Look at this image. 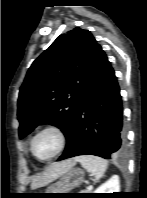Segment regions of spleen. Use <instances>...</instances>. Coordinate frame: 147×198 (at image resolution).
Masks as SVG:
<instances>
[{
	"instance_id": "spleen-1",
	"label": "spleen",
	"mask_w": 147,
	"mask_h": 198,
	"mask_svg": "<svg viewBox=\"0 0 147 198\" xmlns=\"http://www.w3.org/2000/svg\"><path fill=\"white\" fill-rule=\"evenodd\" d=\"M76 161H78L86 171L92 173L96 180L103 177L108 167V162L105 159L93 155L78 156L76 157Z\"/></svg>"
}]
</instances>
